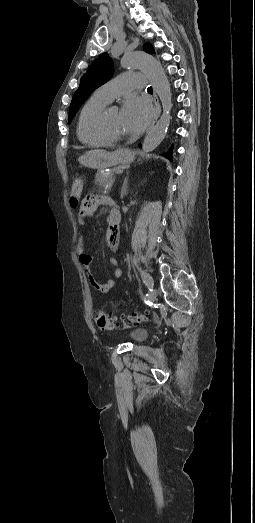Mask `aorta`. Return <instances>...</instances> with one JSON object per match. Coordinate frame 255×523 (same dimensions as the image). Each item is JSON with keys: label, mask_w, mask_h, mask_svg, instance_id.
Returning a JSON list of instances; mask_svg holds the SVG:
<instances>
[{"label": "aorta", "mask_w": 255, "mask_h": 523, "mask_svg": "<svg viewBox=\"0 0 255 523\" xmlns=\"http://www.w3.org/2000/svg\"><path fill=\"white\" fill-rule=\"evenodd\" d=\"M121 66L126 69H141L161 100L163 113L156 125L146 135L142 149L145 153L156 149L166 136L170 124L172 108L171 88L161 64L151 55L144 52H132L121 59Z\"/></svg>", "instance_id": "aorta-1"}]
</instances>
